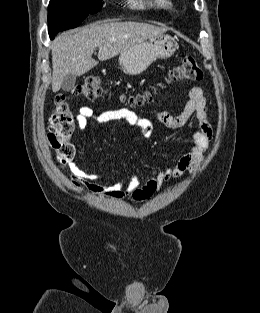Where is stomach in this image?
Wrapping results in <instances>:
<instances>
[{"label":"stomach","instance_id":"stomach-1","mask_svg":"<svg viewBox=\"0 0 260 313\" xmlns=\"http://www.w3.org/2000/svg\"><path fill=\"white\" fill-rule=\"evenodd\" d=\"M176 49L177 42L172 36L160 34L123 51L119 56V64L126 74L138 75L156 59L171 57Z\"/></svg>","mask_w":260,"mask_h":313}]
</instances>
